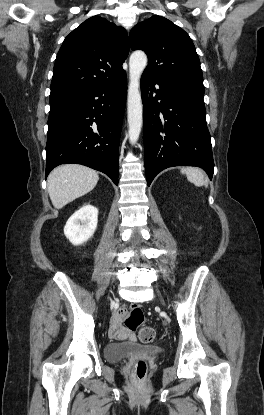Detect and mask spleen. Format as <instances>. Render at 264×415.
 <instances>
[{"label": "spleen", "instance_id": "3e777b00", "mask_svg": "<svg viewBox=\"0 0 264 415\" xmlns=\"http://www.w3.org/2000/svg\"><path fill=\"white\" fill-rule=\"evenodd\" d=\"M181 173L187 176V179L195 184L196 186H206L208 185L204 173L195 167H186L181 169Z\"/></svg>", "mask_w": 264, "mask_h": 415}]
</instances>
